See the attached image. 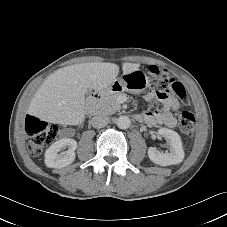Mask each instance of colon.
Here are the masks:
<instances>
[{
  "label": "colon",
  "instance_id": "1",
  "mask_svg": "<svg viewBox=\"0 0 227 227\" xmlns=\"http://www.w3.org/2000/svg\"><path fill=\"white\" fill-rule=\"evenodd\" d=\"M150 71L156 77V90H170L181 99L184 105H189V98L181 83L171 78L166 71L155 66L151 67ZM195 127L196 122L193 114L189 111L182 112L179 116V128L182 133L192 137ZM25 128L28 134V150L34 157L40 155L45 146L53 143L59 133V128L56 125L31 115L26 117Z\"/></svg>",
  "mask_w": 227,
  "mask_h": 227
}]
</instances>
